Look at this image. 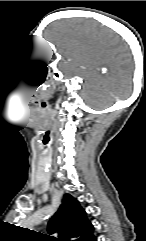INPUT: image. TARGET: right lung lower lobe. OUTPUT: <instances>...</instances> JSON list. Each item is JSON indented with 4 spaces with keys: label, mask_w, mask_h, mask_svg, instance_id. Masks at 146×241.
<instances>
[{
    "label": "right lung lower lobe",
    "mask_w": 146,
    "mask_h": 241,
    "mask_svg": "<svg viewBox=\"0 0 146 241\" xmlns=\"http://www.w3.org/2000/svg\"><path fill=\"white\" fill-rule=\"evenodd\" d=\"M92 241H97L96 237L94 239H92Z\"/></svg>",
    "instance_id": "right-lung-lower-lobe-1"
}]
</instances>
